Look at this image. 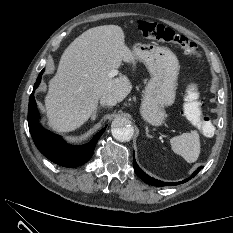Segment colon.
<instances>
[{
  "label": "colon",
  "instance_id": "1",
  "mask_svg": "<svg viewBox=\"0 0 233 233\" xmlns=\"http://www.w3.org/2000/svg\"><path fill=\"white\" fill-rule=\"evenodd\" d=\"M137 27L146 38L175 44L180 47L184 53L194 59L199 57L198 47L194 42L163 24L147 20H138ZM198 96V88L196 84H190L186 91L185 113L196 122L200 131L204 135L211 136L214 133L215 127L210 117L200 114Z\"/></svg>",
  "mask_w": 233,
  "mask_h": 233
}]
</instances>
